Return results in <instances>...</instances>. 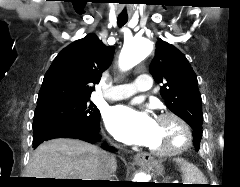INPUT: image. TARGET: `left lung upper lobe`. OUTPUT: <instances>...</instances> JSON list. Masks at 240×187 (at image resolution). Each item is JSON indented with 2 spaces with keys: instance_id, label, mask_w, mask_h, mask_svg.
<instances>
[{
  "instance_id": "obj_1",
  "label": "left lung upper lobe",
  "mask_w": 240,
  "mask_h": 187,
  "mask_svg": "<svg viewBox=\"0 0 240 187\" xmlns=\"http://www.w3.org/2000/svg\"><path fill=\"white\" fill-rule=\"evenodd\" d=\"M149 70L154 80L163 85L160 94L167 107L193 129L194 146L198 151L202 138V99L197 76L188 60L176 47L158 39Z\"/></svg>"
}]
</instances>
